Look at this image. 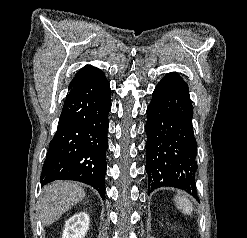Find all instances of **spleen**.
Masks as SVG:
<instances>
[{"instance_id":"spleen-1","label":"spleen","mask_w":247,"mask_h":238,"mask_svg":"<svg viewBox=\"0 0 247 238\" xmlns=\"http://www.w3.org/2000/svg\"><path fill=\"white\" fill-rule=\"evenodd\" d=\"M175 203L179 210L184 214L190 215L193 211V205L186 196L177 195L175 197Z\"/></svg>"}]
</instances>
